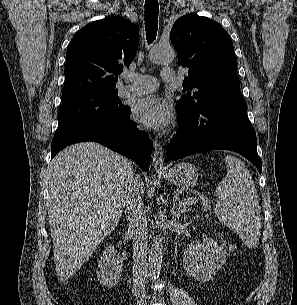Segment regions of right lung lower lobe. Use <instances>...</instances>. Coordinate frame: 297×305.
Wrapping results in <instances>:
<instances>
[{
  "mask_svg": "<svg viewBox=\"0 0 297 305\" xmlns=\"http://www.w3.org/2000/svg\"><path fill=\"white\" fill-rule=\"evenodd\" d=\"M129 116L130 108L121 118L92 120L54 137L51 144V158L70 144L94 141L132 158L146 171L150 164L153 144L148 135L140 131Z\"/></svg>",
  "mask_w": 297,
  "mask_h": 305,
  "instance_id": "right-lung-lower-lobe-1",
  "label": "right lung lower lobe"
}]
</instances>
